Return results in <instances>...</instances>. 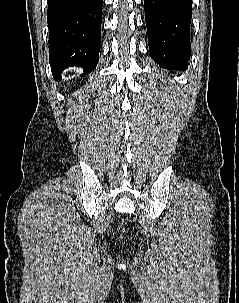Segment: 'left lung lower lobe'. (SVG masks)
Wrapping results in <instances>:
<instances>
[{
	"label": "left lung lower lobe",
	"mask_w": 239,
	"mask_h": 303,
	"mask_svg": "<svg viewBox=\"0 0 239 303\" xmlns=\"http://www.w3.org/2000/svg\"><path fill=\"white\" fill-rule=\"evenodd\" d=\"M144 7L151 57L164 69H187L191 0H144Z\"/></svg>",
	"instance_id": "left-lung-lower-lobe-1"
}]
</instances>
